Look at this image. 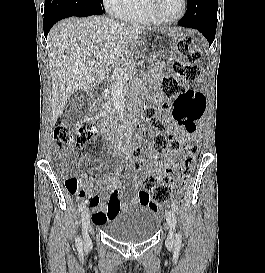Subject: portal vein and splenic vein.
Returning <instances> with one entry per match:
<instances>
[{
    "mask_svg": "<svg viewBox=\"0 0 265 273\" xmlns=\"http://www.w3.org/2000/svg\"><path fill=\"white\" fill-rule=\"evenodd\" d=\"M96 57H97V58L100 57V54H97ZM123 75H124V73L121 71V72L119 73V77L122 78Z\"/></svg>",
    "mask_w": 265,
    "mask_h": 273,
    "instance_id": "18ae733b",
    "label": "portal vein and splenic vein"
}]
</instances>
